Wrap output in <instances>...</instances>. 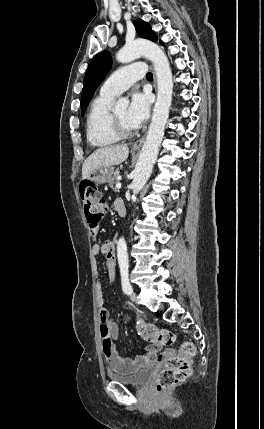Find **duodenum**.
<instances>
[{"label":"duodenum","mask_w":264,"mask_h":429,"mask_svg":"<svg viewBox=\"0 0 264 429\" xmlns=\"http://www.w3.org/2000/svg\"><path fill=\"white\" fill-rule=\"evenodd\" d=\"M116 211L118 213L119 216H125L126 215V208L123 202L118 203L116 205ZM113 260H116L115 254L113 255Z\"/></svg>","instance_id":"1"}]
</instances>
